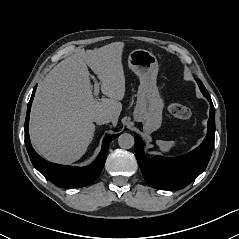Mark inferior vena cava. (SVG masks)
Wrapping results in <instances>:
<instances>
[{
	"mask_svg": "<svg viewBox=\"0 0 239 239\" xmlns=\"http://www.w3.org/2000/svg\"><path fill=\"white\" fill-rule=\"evenodd\" d=\"M94 122H96L99 125L107 124V123L111 122V116L106 113H100L95 116Z\"/></svg>",
	"mask_w": 239,
	"mask_h": 239,
	"instance_id": "inferior-vena-cava-1",
	"label": "inferior vena cava"
}]
</instances>
